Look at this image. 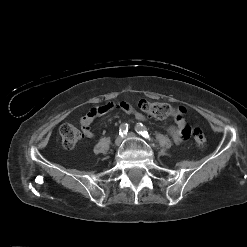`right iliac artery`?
<instances>
[{"instance_id": "82829eb1", "label": "right iliac artery", "mask_w": 247, "mask_h": 247, "mask_svg": "<svg viewBox=\"0 0 247 247\" xmlns=\"http://www.w3.org/2000/svg\"><path fill=\"white\" fill-rule=\"evenodd\" d=\"M127 132H128V124L127 123L121 124L119 127V134L123 137L125 134H127Z\"/></svg>"}]
</instances>
